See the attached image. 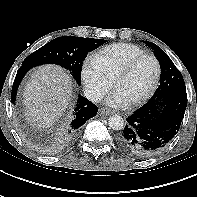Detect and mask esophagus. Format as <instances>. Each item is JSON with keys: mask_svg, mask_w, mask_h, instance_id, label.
<instances>
[{"mask_svg": "<svg viewBox=\"0 0 197 197\" xmlns=\"http://www.w3.org/2000/svg\"><path fill=\"white\" fill-rule=\"evenodd\" d=\"M112 113H113V111L111 109L107 108V107H102L100 109V114L103 115V116H108Z\"/></svg>", "mask_w": 197, "mask_h": 197, "instance_id": "1", "label": "esophagus"}]
</instances>
